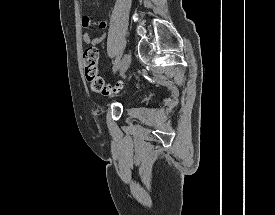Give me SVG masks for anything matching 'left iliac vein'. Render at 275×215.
I'll use <instances>...</instances> for the list:
<instances>
[{"label":"left iliac vein","mask_w":275,"mask_h":215,"mask_svg":"<svg viewBox=\"0 0 275 215\" xmlns=\"http://www.w3.org/2000/svg\"><path fill=\"white\" fill-rule=\"evenodd\" d=\"M130 63H131V56L130 54L126 53L120 62V76H123L125 74V72L130 66Z\"/></svg>","instance_id":"left-iliac-vein-1"}]
</instances>
